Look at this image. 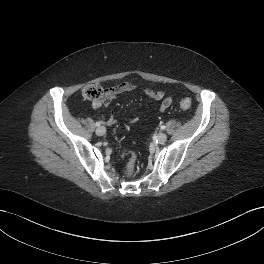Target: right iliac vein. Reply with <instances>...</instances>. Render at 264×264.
Listing matches in <instances>:
<instances>
[{"mask_svg": "<svg viewBox=\"0 0 264 264\" xmlns=\"http://www.w3.org/2000/svg\"><path fill=\"white\" fill-rule=\"evenodd\" d=\"M105 133H106V129H105V127H103V126L98 127V128L96 129V134H97L98 136H102V135H104Z\"/></svg>", "mask_w": 264, "mask_h": 264, "instance_id": "right-iliac-vein-1", "label": "right iliac vein"}]
</instances>
